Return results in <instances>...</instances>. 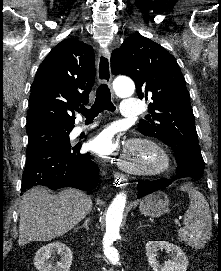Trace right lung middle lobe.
Returning a JSON list of instances; mask_svg holds the SVG:
<instances>
[{"label": "right lung middle lobe", "mask_w": 221, "mask_h": 271, "mask_svg": "<svg viewBox=\"0 0 221 271\" xmlns=\"http://www.w3.org/2000/svg\"><path fill=\"white\" fill-rule=\"evenodd\" d=\"M74 126H44L28 130L27 156L50 148L71 147L69 133Z\"/></svg>", "instance_id": "obj_1"}]
</instances>
